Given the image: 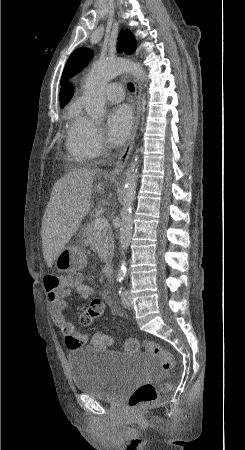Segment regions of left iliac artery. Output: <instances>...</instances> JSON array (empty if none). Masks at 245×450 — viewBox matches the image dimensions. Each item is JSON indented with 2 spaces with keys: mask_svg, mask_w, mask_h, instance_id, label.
I'll return each mask as SVG.
<instances>
[{
  "mask_svg": "<svg viewBox=\"0 0 245 450\" xmlns=\"http://www.w3.org/2000/svg\"><path fill=\"white\" fill-rule=\"evenodd\" d=\"M122 291H123V287H120V289L118 291L119 296L121 295Z\"/></svg>",
  "mask_w": 245,
  "mask_h": 450,
  "instance_id": "obj_1",
  "label": "left iliac artery"
}]
</instances>
